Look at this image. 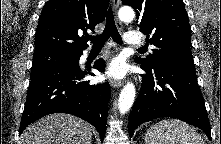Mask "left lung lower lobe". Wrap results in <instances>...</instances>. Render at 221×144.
<instances>
[{
    "label": "left lung lower lobe",
    "instance_id": "left-lung-lower-lobe-1",
    "mask_svg": "<svg viewBox=\"0 0 221 144\" xmlns=\"http://www.w3.org/2000/svg\"><path fill=\"white\" fill-rule=\"evenodd\" d=\"M139 95L132 108L130 137L142 123L159 117H172L203 130L211 140V130L195 71L174 65L146 66Z\"/></svg>",
    "mask_w": 221,
    "mask_h": 144
}]
</instances>
